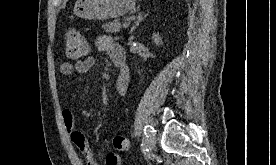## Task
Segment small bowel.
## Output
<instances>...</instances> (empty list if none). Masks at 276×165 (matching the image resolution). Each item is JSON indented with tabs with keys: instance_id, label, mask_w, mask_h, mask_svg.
<instances>
[{
	"instance_id": "c3829d8e",
	"label": "small bowel",
	"mask_w": 276,
	"mask_h": 165,
	"mask_svg": "<svg viewBox=\"0 0 276 165\" xmlns=\"http://www.w3.org/2000/svg\"><path fill=\"white\" fill-rule=\"evenodd\" d=\"M97 48L101 51H105L110 59H119L122 62L119 68V74L116 81V88L121 96L127 93L129 85V68L126 64L125 51L122 46L116 44L109 36H100L96 41ZM95 63L93 57H87L72 62H63L60 65V72L62 75L69 76L74 72L86 73L89 71ZM62 118L65 128L70 136L71 141L80 150L86 165H99L96 161L95 154L91 146L89 145L84 134L76 127L75 117L71 110L65 108L62 111ZM121 160L117 154H109L105 159L106 165H120Z\"/></svg>"
}]
</instances>
